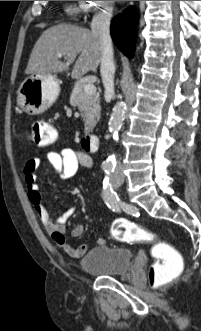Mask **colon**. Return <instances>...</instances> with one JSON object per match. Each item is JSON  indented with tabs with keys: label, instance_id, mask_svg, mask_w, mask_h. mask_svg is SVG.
<instances>
[{
	"label": "colon",
	"instance_id": "1",
	"mask_svg": "<svg viewBox=\"0 0 201 331\" xmlns=\"http://www.w3.org/2000/svg\"><path fill=\"white\" fill-rule=\"evenodd\" d=\"M31 135L38 146H48L56 141V130L51 121L45 119L33 122ZM111 236L119 242H151L156 239L154 233L126 219L113 222ZM152 253L155 262L149 269V281L152 287L161 288L179 276L182 259L173 247L163 242L156 243Z\"/></svg>",
	"mask_w": 201,
	"mask_h": 331
}]
</instances>
